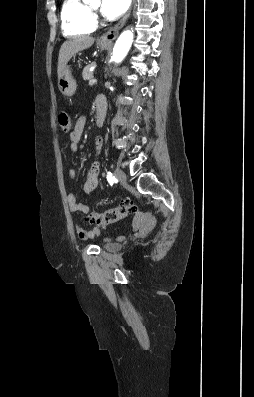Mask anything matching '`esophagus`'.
<instances>
[{"label":"esophagus","instance_id":"obj_1","mask_svg":"<svg viewBox=\"0 0 254 397\" xmlns=\"http://www.w3.org/2000/svg\"><path fill=\"white\" fill-rule=\"evenodd\" d=\"M135 3V0H133L132 5L128 12L123 16V18L113 27H111L107 32H105L101 37L100 41L104 43H112L118 36L120 29L124 26L126 23L128 17L130 16L133 4Z\"/></svg>","mask_w":254,"mask_h":397}]
</instances>
